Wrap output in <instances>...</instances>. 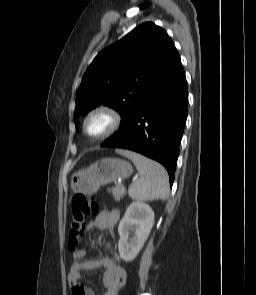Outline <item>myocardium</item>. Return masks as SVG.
<instances>
[{
	"label": "myocardium",
	"instance_id": "f54148a6",
	"mask_svg": "<svg viewBox=\"0 0 256 295\" xmlns=\"http://www.w3.org/2000/svg\"><path fill=\"white\" fill-rule=\"evenodd\" d=\"M96 116H103L106 119V127L105 129L94 136H90L87 131V124L88 122L96 117ZM121 122V117L118 112L108 105H99L92 110H90L84 117L82 124H81V132L83 136L92 141H99L103 140L109 136H111L119 127Z\"/></svg>",
	"mask_w": 256,
	"mask_h": 295
}]
</instances>
